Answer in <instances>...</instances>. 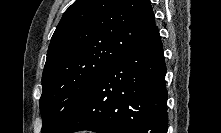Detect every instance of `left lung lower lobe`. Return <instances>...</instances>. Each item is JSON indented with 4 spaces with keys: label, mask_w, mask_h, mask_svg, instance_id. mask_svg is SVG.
<instances>
[{
    "label": "left lung lower lobe",
    "mask_w": 221,
    "mask_h": 133,
    "mask_svg": "<svg viewBox=\"0 0 221 133\" xmlns=\"http://www.w3.org/2000/svg\"><path fill=\"white\" fill-rule=\"evenodd\" d=\"M165 74L154 26L104 70L57 133H167Z\"/></svg>",
    "instance_id": "left-lung-lower-lobe-1"
}]
</instances>
